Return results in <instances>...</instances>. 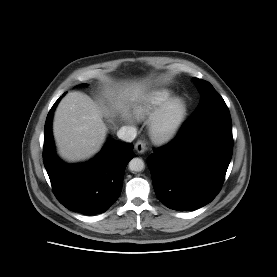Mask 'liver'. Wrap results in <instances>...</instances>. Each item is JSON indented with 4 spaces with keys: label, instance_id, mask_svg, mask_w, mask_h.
I'll return each instance as SVG.
<instances>
[{
    "label": "liver",
    "instance_id": "6515ba94",
    "mask_svg": "<svg viewBox=\"0 0 277 277\" xmlns=\"http://www.w3.org/2000/svg\"><path fill=\"white\" fill-rule=\"evenodd\" d=\"M145 83H124L107 88L104 93L108 105L94 102L80 92L68 93L59 103L53 122V133L60 156L69 162L91 158L102 147L107 127L103 117L125 111L128 102L145 98Z\"/></svg>",
    "mask_w": 277,
    "mask_h": 277
}]
</instances>
